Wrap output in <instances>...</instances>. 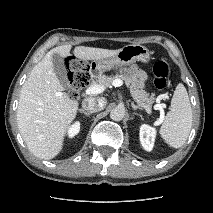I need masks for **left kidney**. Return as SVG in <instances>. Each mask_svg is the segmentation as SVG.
Instances as JSON below:
<instances>
[{
	"label": "left kidney",
	"mask_w": 213,
	"mask_h": 213,
	"mask_svg": "<svg viewBox=\"0 0 213 213\" xmlns=\"http://www.w3.org/2000/svg\"><path fill=\"white\" fill-rule=\"evenodd\" d=\"M155 136V128L145 124L140 127V142L146 151H151L153 149Z\"/></svg>",
	"instance_id": "1"
}]
</instances>
